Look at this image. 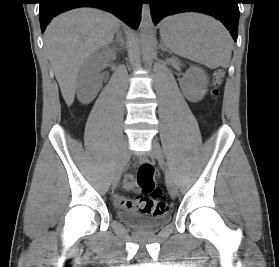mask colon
Masks as SVG:
<instances>
[{"label":"colon","instance_id":"colon-1","mask_svg":"<svg viewBox=\"0 0 279 267\" xmlns=\"http://www.w3.org/2000/svg\"><path fill=\"white\" fill-rule=\"evenodd\" d=\"M224 77V71L217 69L213 74L211 95H218V88ZM136 183L143 192L135 201V208L144 214L158 216L167 213L169 205L164 201H156L148 194L156 192L154 181V167L149 162L142 163L136 173Z\"/></svg>","mask_w":279,"mask_h":267}]
</instances>
